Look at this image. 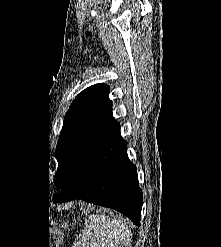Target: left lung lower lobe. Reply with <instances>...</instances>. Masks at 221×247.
Wrapping results in <instances>:
<instances>
[{
	"instance_id": "left-lung-lower-lobe-1",
	"label": "left lung lower lobe",
	"mask_w": 221,
	"mask_h": 247,
	"mask_svg": "<svg viewBox=\"0 0 221 247\" xmlns=\"http://www.w3.org/2000/svg\"><path fill=\"white\" fill-rule=\"evenodd\" d=\"M120 124L107 128L91 147L74 180L53 197L55 202L82 199L113 208L140 226L142 191L136 166L129 160Z\"/></svg>"
}]
</instances>
